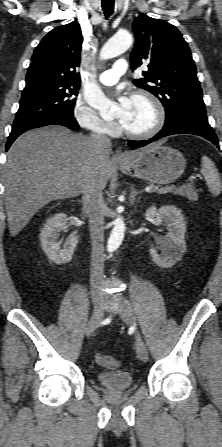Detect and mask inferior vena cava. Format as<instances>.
Here are the masks:
<instances>
[{
	"instance_id": "1",
	"label": "inferior vena cava",
	"mask_w": 222,
	"mask_h": 447,
	"mask_svg": "<svg viewBox=\"0 0 222 447\" xmlns=\"http://www.w3.org/2000/svg\"><path fill=\"white\" fill-rule=\"evenodd\" d=\"M91 138L96 143L99 152L111 149V141L108 137L92 134ZM104 185L98 179H89L83 190V200L89 208V230L92 242L91 252V287L92 294L102 296L99 285L102 282L104 268Z\"/></svg>"
}]
</instances>
